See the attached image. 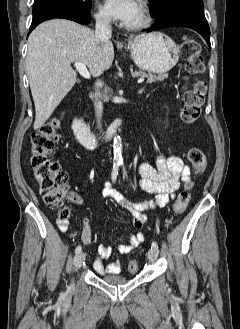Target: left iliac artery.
Returning a JSON list of instances; mask_svg holds the SVG:
<instances>
[{
    "mask_svg": "<svg viewBox=\"0 0 240 329\" xmlns=\"http://www.w3.org/2000/svg\"><path fill=\"white\" fill-rule=\"evenodd\" d=\"M124 173H125V171H124ZM125 174H126V173H125ZM151 249H156V250H158V245H157L156 242H152Z\"/></svg>",
    "mask_w": 240,
    "mask_h": 329,
    "instance_id": "44dca946",
    "label": "left iliac artery"
}]
</instances>
